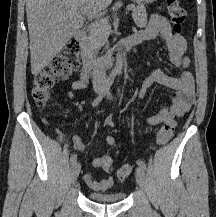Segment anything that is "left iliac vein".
<instances>
[{
	"mask_svg": "<svg viewBox=\"0 0 216 217\" xmlns=\"http://www.w3.org/2000/svg\"><path fill=\"white\" fill-rule=\"evenodd\" d=\"M110 97V95H109ZM136 181L140 188L144 189L145 188V172L142 168H137L136 169Z\"/></svg>",
	"mask_w": 216,
	"mask_h": 217,
	"instance_id": "obj_1",
	"label": "left iliac vein"
}]
</instances>
